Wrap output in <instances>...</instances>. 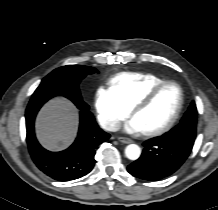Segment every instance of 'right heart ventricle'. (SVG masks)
<instances>
[{
	"label": "right heart ventricle",
	"mask_w": 218,
	"mask_h": 210,
	"mask_svg": "<svg viewBox=\"0 0 218 210\" xmlns=\"http://www.w3.org/2000/svg\"><path fill=\"white\" fill-rule=\"evenodd\" d=\"M163 78L140 72L120 73L109 81V89L130 109Z\"/></svg>",
	"instance_id": "1"
}]
</instances>
